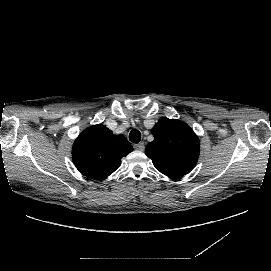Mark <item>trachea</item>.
<instances>
[{
    "label": "trachea",
    "instance_id": "obj_1",
    "mask_svg": "<svg viewBox=\"0 0 271 271\" xmlns=\"http://www.w3.org/2000/svg\"><path fill=\"white\" fill-rule=\"evenodd\" d=\"M129 139L133 143H138L141 140V134L137 129H133L129 134Z\"/></svg>",
    "mask_w": 271,
    "mask_h": 271
}]
</instances>
